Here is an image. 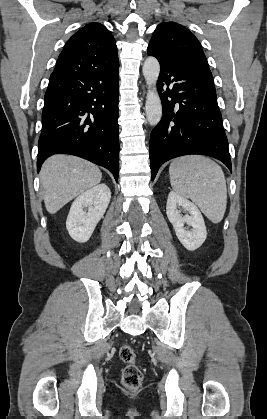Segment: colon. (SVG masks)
<instances>
[{"mask_svg": "<svg viewBox=\"0 0 267 419\" xmlns=\"http://www.w3.org/2000/svg\"><path fill=\"white\" fill-rule=\"evenodd\" d=\"M119 357L125 367L122 372V383L129 389L138 388L143 381V374L139 366L136 364V354L129 345L121 346Z\"/></svg>", "mask_w": 267, "mask_h": 419, "instance_id": "5ec220e1", "label": "colon"}]
</instances>
